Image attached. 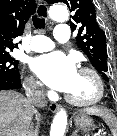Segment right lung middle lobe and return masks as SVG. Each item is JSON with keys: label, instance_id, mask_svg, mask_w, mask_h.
Returning <instances> with one entry per match:
<instances>
[{"label": "right lung middle lobe", "instance_id": "obj_1", "mask_svg": "<svg viewBox=\"0 0 117 136\" xmlns=\"http://www.w3.org/2000/svg\"><path fill=\"white\" fill-rule=\"evenodd\" d=\"M18 63L10 54H0V75H20Z\"/></svg>", "mask_w": 117, "mask_h": 136}]
</instances>
